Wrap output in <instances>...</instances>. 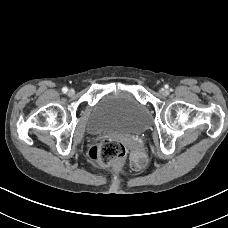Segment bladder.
I'll use <instances>...</instances> for the list:
<instances>
[{"mask_svg": "<svg viewBox=\"0 0 228 228\" xmlns=\"http://www.w3.org/2000/svg\"><path fill=\"white\" fill-rule=\"evenodd\" d=\"M149 112L129 85L104 94L92 107L86 130L90 134L139 133L149 124Z\"/></svg>", "mask_w": 228, "mask_h": 228, "instance_id": "bladder-1", "label": "bladder"}]
</instances>
